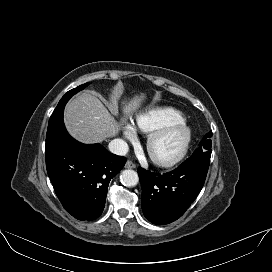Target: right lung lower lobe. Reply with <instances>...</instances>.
<instances>
[{
    "label": "right lung lower lobe",
    "mask_w": 272,
    "mask_h": 272,
    "mask_svg": "<svg viewBox=\"0 0 272 272\" xmlns=\"http://www.w3.org/2000/svg\"><path fill=\"white\" fill-rule=\"evenodd\" d=\"M46 168L63 207L76 219L91 221L105 207L110 180L120 172L126 158L100 144H83L65 129L46 139Z\"/></svg>",
    "instance_id": "obj_1"
}]
</instances>
